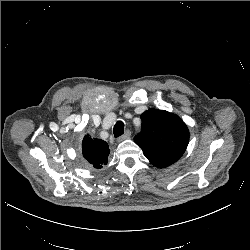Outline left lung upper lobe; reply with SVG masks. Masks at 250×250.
<instances>
[{"label": "left lung upper lobe", "mask_w": 250, "mask_h": 250, "mask_svg": "<svg viewBox=\"0 0 250 250\" xmlns=\"http://www.w3.org/2000/svg\"><path fill=\"white\" fill-rule=\"evenodd\" d=\"M142 132L134 138L145 157L156 167L175 163L185 152L189 130L177 115L165 110L149 109L142 116Z\"/></svg>", "instance_id": "1"}]
</instances>
